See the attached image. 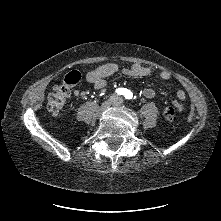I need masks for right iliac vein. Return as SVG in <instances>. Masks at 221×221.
Masks as SVG:
<instances>
[{"mask_svg":"<svg viewBox=\"0 0 221 221\" xmlns=\"http://www.w3.org/2000/svg\"><path fill=\"white\" fill-rule=\"evenodd\" d=\"M109 105H110V103L106 102V103L103 104V108H107V107H109Z\"/></svg>","mask_w":221,"mask_h":221,"instance_id":"right-iliac-vein-1","label":"right iliac vein"}]
</instances>
